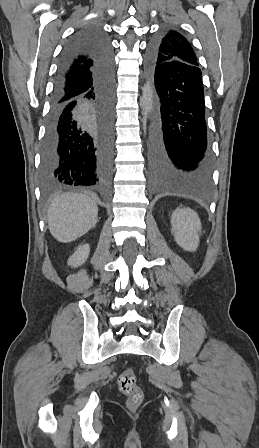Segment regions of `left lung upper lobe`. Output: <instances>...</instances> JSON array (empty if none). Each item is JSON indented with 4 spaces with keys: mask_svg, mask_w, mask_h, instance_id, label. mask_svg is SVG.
<instances>
[{
    "mask_svg": "<svg viewBox=\"0 0 259 448\" xmlns=\"http://www.w3.org/2000/svg\"><path fill=\"white\" fill-rule=\"evenodd\" d=\"M151 55L157 62L181 61L186 64L199 66L196 54L191 43L176 30H168L160 36Z\"/></svg>",
    "mask_w": 259,
    "mask_h": 448,
    "instance_id": "5c2ea615",
    "label": "left lung upper lobe"
}]
</instances>
